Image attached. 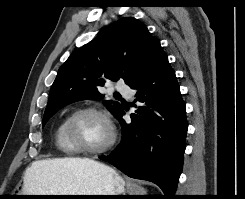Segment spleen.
I'll return each instance as SVG.
<instances>
[{"label": "spleen", "instance_id": "3e777b00", "mask_svg": "<svg viewBox=\"0 0 245 199\" xmlns=\"http://www.w3.org/2000/svg\"><path fill=\"white\" fill-rule=\"evenodd\" d=\"M128 186V191L130 193V195H145L146 191L143 187L128 181L127 183Z\"/></svg>", "mask_w": 245, "mask_h": 199}]
</instances>
